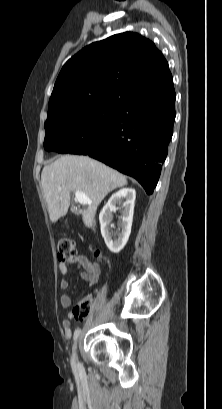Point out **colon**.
Listing matches in <instances>:
<instances>
[{
  "mask_svg": "<svg viewBox=\"0 0 222 409\" xmlns=\"http://www.w3.org/2000/svg\"><path fill=\"white\" fill-rule=\"evenodd\" d=\"M57 251L59 261L66 267L78 260L76 245L73 240L62 237L57 242ZM95 262H102L104 257L99 252L93 253ZM78 262V261H77ZM92 262V261H91ZM92 308V298L89 295L83 296L74 306L72 316L76 320H82L87 317Z\"/></svg>",
  "mask_w": 222,
  "mask_h": 409,
  "instance_id": "colon-1",
  "label": "colon"
}]
</instances>
